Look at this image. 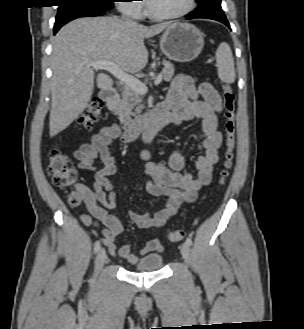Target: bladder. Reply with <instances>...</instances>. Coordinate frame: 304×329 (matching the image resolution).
Returning a JSON list of instances; mask_svg holds the SVG:
<instances>
[{
	"label": "bladder",
	"mask_w": 304,
	"mask_h": 329,
	"mask_svg": "<svg viewBox=\"0 0 304 329\" xmlns=\"http://www.w3.org/2000/svg\"><path fill=\"white\" fill-rule=\"evenodd\" d=\"M164 258L160 253H151L136 261L133 265V272H156L162 269Z\"/></svg>",
	"instance_id": "1"
}]
</instances>
